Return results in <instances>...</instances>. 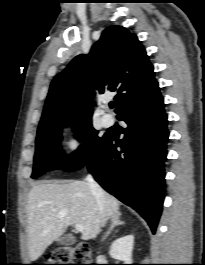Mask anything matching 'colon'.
I'll use <instances>...</instances> for the list:
<instances>
[{"mask_svg": "<svg viewBox=\"0 0 205 265\" xmlns=\"http://www.w3.org/2000/svg\"><path fill=\"white\" fill-rule=\"evenodd\" d=\"M45 265H92L90 249L86 244L59 247L47 255Z\"/></svg>", "mask_w": 205, "mask_h": 265, "instance_id": "colon-1", "label": "colon"}]
</instances>
